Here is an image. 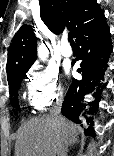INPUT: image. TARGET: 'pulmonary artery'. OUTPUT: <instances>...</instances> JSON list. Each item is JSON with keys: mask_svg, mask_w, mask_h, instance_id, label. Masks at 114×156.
Returning a JSON list of instances; mask_svg holds the SVG:
<instances>
[{"mask_svg": "<svg viewBox=\"0 0 114 156\" xmlns=\"http://www.w3.org/2000/svg\"><path fill=\"white\" fill-rule=\"evenodd\" d=\"M60 53L64 57H70L73 54L72 48L65 38L61 42Z\"/></svg>", "mask_w": 114, "mask_h": 156, "instance_id": "obj_1", "label": "pulmonary artery"}]
</instances>
